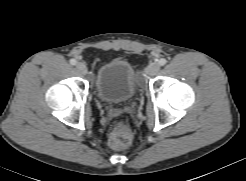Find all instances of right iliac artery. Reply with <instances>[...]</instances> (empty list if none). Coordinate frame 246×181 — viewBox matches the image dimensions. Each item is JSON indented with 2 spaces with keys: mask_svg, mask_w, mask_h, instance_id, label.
<instances>
[{
  "mask_svg": "<svg viewBox=\"0 0 246 181\" xmlns=\"http://www.w3.org/2000/svg\"><path fill=\"white\" fill-rule=\"evenodd\" d=\"M69 62H70L71 65H76V63H77V61L75 59H70Z\"/></svg>",
  "mask_w": 246,
  "mask_h": 181,
  "instance_id": "1",
  "label": "right iliac artery"
}]
</instances>
